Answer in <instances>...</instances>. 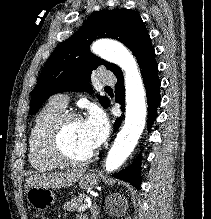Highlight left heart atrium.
I'll use <instances>...</instances> for the list:
<instances>
[{
  "instance_id": "obj_1",
  "label": "left heart atrium",
  "mask_w": 211,
  "mask_h": 219,
  "mask_svg": "<svg viewBox=\"0 0 211 219\" xmlns=\"http://www.w3.org/2000/svg\"><path fill=\"white\" fill-rule=\"evenodd\" d=\"M83 132L93 150L98 148L106 139L109 131L106 116L99 109H92L87 118L82 121Z\"/></svg>"
}]
</instances>
